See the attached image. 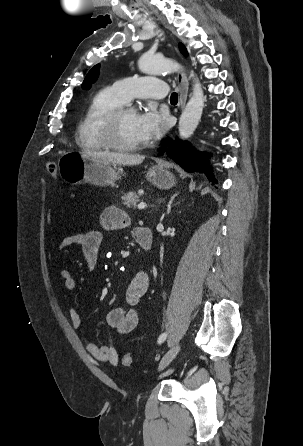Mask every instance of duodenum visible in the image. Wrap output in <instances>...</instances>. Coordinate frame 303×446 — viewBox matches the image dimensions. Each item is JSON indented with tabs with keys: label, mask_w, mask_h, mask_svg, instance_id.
Listing matches in <instances>:
<instances>
[{
	"label": "duodenum",
	"mask_w": 303,
	"mask_h": 446,
	"mask_svg": "<svg viewBox=\"0 0 303 446\" xmlns=\"http://www.w3.org/2000/svg\"><path fill=\"white\" fill-rule=\"evenodd\" d=\"M135 240L139 246L148 251L152 247V233L149 228L142 227L135 234Z\"/></svg>",
	"instance_id": "duodenum-1"
}]
</instances>
